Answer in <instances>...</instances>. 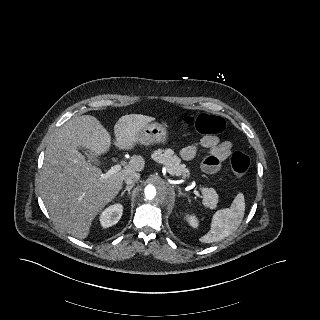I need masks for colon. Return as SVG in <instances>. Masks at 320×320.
I'll return each instance as SVG.
<instances>
[{
  "mask_svg": "<svg viewBox=\"0 0 320 320\" xmlns=\"http://www.w3.org/2000/svg\"><path fill=\"white\" fill-rule=\"evenodd\" d=\"M185 125L194 127L198 132L203 134H218L225 129V120L213 114L186 115L183 117ZM250 160L242 152H234L230 160V168L236 178L243 177L248 171Z\"/></svg>",
  "mask_w": 320,
  "mask_h": 320,
  "instance_id": "5ec220e1",
  "label": "colon"
}]
</instances>
